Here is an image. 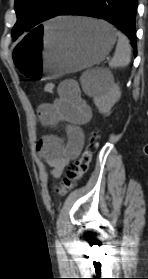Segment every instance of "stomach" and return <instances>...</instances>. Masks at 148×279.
<instances>
[{"mask_svg": "<svg viewBox=\"0 0 148 279\" xmlns=\"http://www.w3.org/2000/svg\"><path fill=\"white\" fill-rule=\"evenodd\" d=\"M36 27L13 46L21 82H51L99 64L116 41L110 24L89 18L60 17Z\"/></svg>", "mask_w": 148, "mask_h": 279, "instance_id": "stomach-1", "label": "stomach"}]
</instances>
